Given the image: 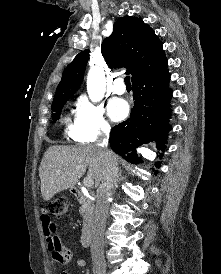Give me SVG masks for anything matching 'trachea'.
<instances>
[{"label": "trachea", "instance_id": "3493384b", "mask_svg": "<svg viewBox=\"0 0 221 274\" xmlns=\"http://www.w3.org/2000/svg\"><path fill=\"white\" fill-rule=\"evenodd\" d=\"M124 82H125L126 86H131L130 77L129 76L125 77Z\"/></svg>", "mask_w": 221, "mask_h": 274}]
</instances>
